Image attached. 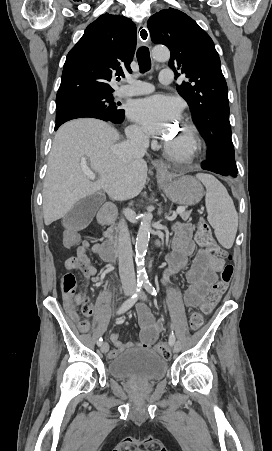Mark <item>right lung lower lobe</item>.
Returning a JSON list of instances; mask_svg holds the SVG:
<instances>
[{"label":"right lung lower lobe","instance_id":"1","mask_svg":"<svg viewBox=\"0 0 272 451\" xmlns=\"http://www.w3.org/2000/svg\"><path fill=\"white\" fill-rule=\"evenodd\" d=\"M83 117L97 118V119H101V120H104V121H108V122L113 123V124H120L124 120V118H123L122 120H119V121H111V120H109L107 118L96 116V115L77 114V115H73V116L67 117V118H65V119H63L61 121L56 122L55 130H57L60 125H62L63 123H65V122H67L69 120L76 119V118H83Z\"/></svg>","mask_w":272,"mask_h":451}]
</instances>
